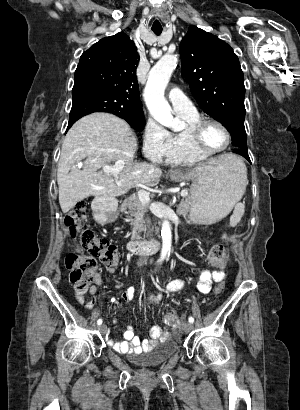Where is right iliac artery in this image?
I'll use <instances>...</instances> for the list:
<instances>
[{
	"instance_id": "82829eb1",
	"label": "right iliac artery",
	"mask_w": 300,
	"mask_h": 410,
	"mask_svg": "<svg viewBox=\"0 0 300 410\" xmlns=\"http://www.w3.org/2000/svg\"><path fill=\"white\" fill-rule=\"evenodd\" d=\"M102 324V319H98L97 320V325H101Z\"/></svg>"
}]
</instances>
